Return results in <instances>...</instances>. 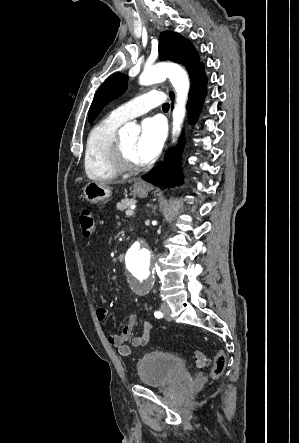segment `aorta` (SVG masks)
Segmentation results:
<instances>
[{
	"instance_id": "1",
	"label": "aorta",
	"mask_w": 299,
	"mask_h": 443,
	"mask_svg": "<svg viewBox=\"0 0 299 443\" xmlns=\"http://www.w3.org/2000/svg\"><path fill=\"white\" fill-rule=\"evenodd\" d=\"M169 78L176 92V105L173 110V136L180 133L185 117V105L189 91V78L183 68L175 64H157L143 71L140 84L151 85ZM140 127L134 123H127L119 130L120 137L128 134L137 135ZM125 265L130 274L137 280L135 291L145 293L150 286L152 253L145 239H138L128 250Z\"/></svg>"
}]
</instances>
